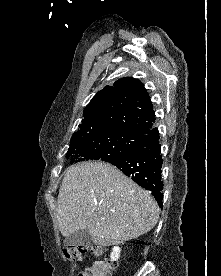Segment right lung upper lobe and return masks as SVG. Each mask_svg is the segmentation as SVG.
Wrapping results in <instances>:
<instances>
[{"label": "right lung upper lobe", "mask_w": 221, "mask_h": 276, "mask_svg": "<svg viewBox=\"0 0 221 276\" xmlns=\"http://www.w3.org/2000/svg\"><path fill=\"white\" fill-rule=\"evenodd\" d=\"M84 119L71 141L120 132L144 138L153 128L155 113L143 84L124 77L99 91L84 109Z\"/></svg>", "instance_id": "obj_1"}]
</instances>
